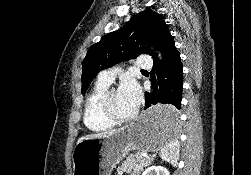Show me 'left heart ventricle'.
I'll use <instances>...</instances> for the list:
<instances>
[{
	"instance_id": "obj_1",
	"label": "left heart ventricle",
	"mask_w": 251,
	"mask_h": 175,
	"mask_svg": "<svg viewBox=\"0 0 251 175\" xmlns=\"http://www.w3.org/2000/svg\"><path fill=\"white\" fill-rule=\"evenodd\" d=\"M110 109L113 113L120 116H128L132 114L130 110L121 102L118 94V90L112 92L109 99Z\"/></svg>"
}]
</instances>
